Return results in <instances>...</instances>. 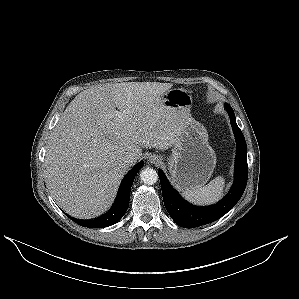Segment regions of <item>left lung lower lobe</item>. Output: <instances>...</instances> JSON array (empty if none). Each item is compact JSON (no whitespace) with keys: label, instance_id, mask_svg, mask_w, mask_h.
Masks as SVG:
<instances>
[{"label":"left lung lower lobe","instance_id":"obj_1","mask_svg":"<svg viewBox=\"0 0 299 299\" xmlns=\"http://www.w3.org/2000/svg\"><path fill=\"white\" fill-rule=\"evenodd\" d=\"M226 109L229 113L237 146L234 168L235 181L225 198L208 207L192 206L180 197L161 170L158 173L165 207L174 222L181 227L194 228L218 220L239 201L245 190L248 178L247 146L243 133L236 123L233 109L228 104H226Z\"/></svg>","mask_w":299,"mask_h":299}]
</instances>
